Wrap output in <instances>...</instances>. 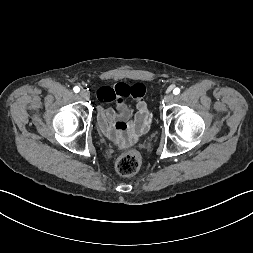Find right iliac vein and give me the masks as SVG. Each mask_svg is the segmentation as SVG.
I'll return each instance as SVG.
<instances>
[{
  "label": "right iliac vein",
  "instance_id": "right-iliac-vein-1",
  "mask_svg": "<svg viewBox=\"0 0 253 253\" xmlns=\"http://www.w3.org/2000/svg\"><path fill=\"white\" fill-rule=\"evenodd\" d=\"M79 96L84 99V100H89L90 98V94L88 91L86 90H81L80 93H79Z\"/></svg>",
  "mask_w": 253,
  "mask_h": 253
}]
</instances>
